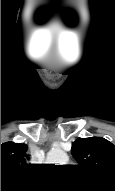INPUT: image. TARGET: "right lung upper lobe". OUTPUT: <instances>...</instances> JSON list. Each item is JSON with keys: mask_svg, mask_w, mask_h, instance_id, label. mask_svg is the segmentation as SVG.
Here are the masks:
<instances>
[{"mask_svg": "<svg viewBox=\"0 0 115 191\" xmlns=\"http://www.w3.org/2000/svg\"><path fill=\"white\" fill-rule=\"evenodd\" d=\"M27 147L22 143L6 142L1 144V177L16 176L29 164Z\"/></svg>", "mask_w": 115, "mask_h": 191, "instance_id": "right-lung-upper-lobe-1", "label": "right lung upper lobe"}]
</instances>
